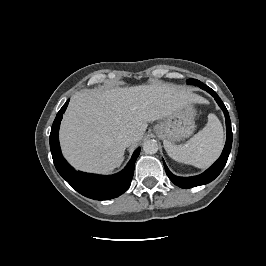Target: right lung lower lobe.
<instances>
[{"label": "right lung lower lobe", "instance_id": "right-lung-lower-lobe-1", "mask_svg": "<svg viewBox=\"0 0 266 266\" xmlns=\"http://www.w3.org/2000/svg\"><path fill=\"white\" fill-rule=\"evenodd\" d=\"M69 100L62 106L53 122L50 133V149L58 173L80 194L94 200H108L123 194L130 186L134 174V165L140 153L136 149L127 166L119 173L102 176L76 171L63 158L58 133L60 122Z\"/></svg>", "mask_w": 266, "mask_h": 266}]
</instances>
